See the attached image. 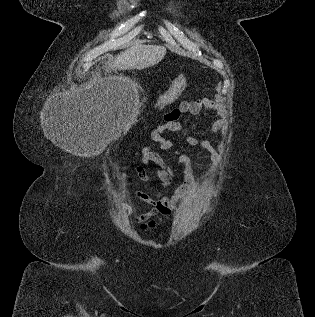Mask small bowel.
Wrapping results in <instances>:
<instances>
[{
    "instance_id": "small-bowel-1",
    "label": "small bowel",
    "mask_w": 315,
    "mask_h": 317,
    "mask_svg": "<svg viewBox=\"0 0 315 317\" xmlns=\"http://www.w3.org/2000/svg\"><path fill=\"white\" fill-rule=\"evenodd\" d=\"M204 110L214 111L219 118L209 125L203 137L187 135L185 126L179 121L181 115L185 113L198 115ZM165 131L180 132L183 135H187L186 143L188 146L202 148L210 153L212 167L205 175L204 180L214 171L218 159L225 148L224 142H221L219 146L215 148L210 140L215 134L221 133L224 135L226 132V121L223 118V110L216 101L208 98H202L196 101H183L177 108L165 114L164 123L153 129L150 132V137L159 144L162 150L173 151L175 157L167 158L150 147H144L141 150L142 163L153 171V175H151L144 166L139 165L135 167V173L143 182L153 183L155 179L159 182V185L155 186L152 194L145 192L135 193L137 199L152 206L149 211L132 216V221L143 231L154 230L162 224L164 220L176 210L177 201L188 194L194 187V183L191 179V158L177 150L176 143L173 140L163 136ZM173 161L176 162L177 167L173 166ZM178 167H183L185 180L175 190L173 195L167 196L163 190L171 185L178 173ZM156 215L160 216L158 220L153 219Z\"/></svg>"
}]
</instances>
